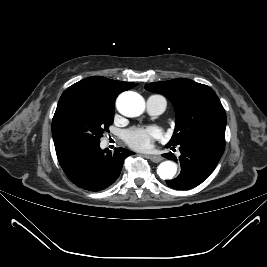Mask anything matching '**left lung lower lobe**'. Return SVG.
<instances>
[{
    "label": "left lung lower lobe",
    "instance_id": "1",
    "mask_svg": "<svg viewBox=\"0 0 267 267\" xmlns=\"http://www.w3.org/2000/svg\"><path fill=\"white\" fill-rule=\"evenodd\" d=\"M224 148L225 142L215 139H199L179 145L181 173L177 178L166 181L167 185L178 190L196 187L213 172ZM162 156L177 162L171 152Z\"/></svg>",
    "mask_w": 267,
    "mask_h": 267
}]
</instances>
